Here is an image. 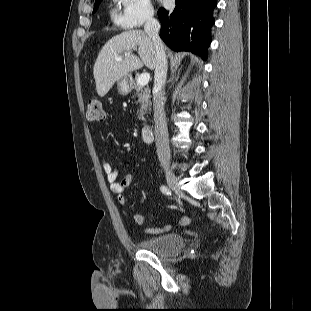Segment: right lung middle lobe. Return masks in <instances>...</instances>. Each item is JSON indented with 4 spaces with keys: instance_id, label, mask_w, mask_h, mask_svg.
Wrapping results in <instances>:
<instances>
[{
    "instance_id": "right-lung-middle-lobe-1",
    "label": "right lung middle lobe",
    "mask_w": 311,
    "mask_h": 311,
    "mask_svg": "<svg viewBox=\"0 0 311 311\" xmlns=\"http://www.w3.org/2000/svg\"><path fill=\"white\" fill-rule=\"evenodd\" d=\"M101 1H102V0H98V1L95 2V4H94V9H93V13L97 10V8H98L99 4L101 3Z\"/></svg>"
}]
</instances>
